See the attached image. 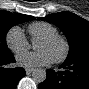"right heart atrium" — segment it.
Returning <instances> with one entry per match:
<instances>
[{
	"label": "right heart atrium",
	"instance_id": "d8ad5b80",
	"mask_svg": "<svg viewBox=\"0 0 89 89\" xmlns=\"http://www.w3.org/2000/svg\"><path fill=\"white\" fill-rule=\"evenodd\" d=\"M6 44L14 54H20L29 48V42L18 26L10 28L6 34Z\"/></svg>",
	"mask_w": 89,
	"mask_h": 89
}]
</instances>
